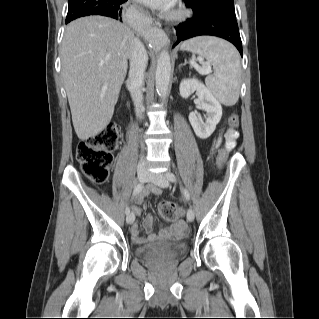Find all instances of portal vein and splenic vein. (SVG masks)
<instances>
[{"label": "portal vein and splenic vein", "instance_id": "obj_1", "mask_svg": "<svg viewBox=\"0 0 319 319\" xmlns=\"http://www.w3.org/2000/svg\"><path fill=\"white\" fill-rule=\"evenodd\" d=\"M191 63L193 64V66L196 68V70L200 73V74H208L211 72V69L210 68H200L198 66V64L194 61V59L191 60Z\"/></svg>", "mask_w": 319, "mask_h": 319}]
</instances>
